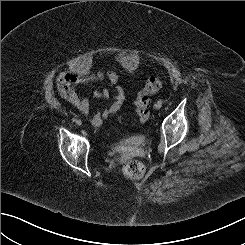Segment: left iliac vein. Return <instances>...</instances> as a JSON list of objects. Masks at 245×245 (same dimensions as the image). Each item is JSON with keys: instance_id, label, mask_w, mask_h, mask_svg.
I'll return each mask as SVG.
<instances>
[{"instance_id": "4c4485c4", "label": "left iliac vein", "mask_w": 245, "mask_h": 245, "mask_svg": "<svg viewBox=\"0 0 245 245\" xmlns=\"http://www.w3.org/2000/svg\"><path fill=\"white\" fill-rule=\"evenodd\" d=\"M154 106H155L156 109H160L162 105L156 103Z\"/></svg>"}]
</instances>
